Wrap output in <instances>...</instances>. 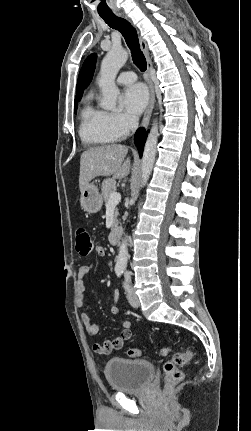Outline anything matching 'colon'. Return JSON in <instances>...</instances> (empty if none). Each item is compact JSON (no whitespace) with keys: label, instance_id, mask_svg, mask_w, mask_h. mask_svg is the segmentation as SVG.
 <instances>
[{"label":"colon","instance_id":"1","mask_svg":"<svg viewBox=\"0 0 251 431\" xmlns=\"http://www.w3.org/2000/svg\"><path fill=\"white\" fill-rule=\"evenodd\" d=\"M76 250L79 255L86 257L94 249V244L89 231L85 227L77 228L75 232ZM169 349L164 347L161 351L163 355H167ZM130 357H140L142 354L141 349L134 348L128 350ZM193 358L191 350L187 349L183 352L175 353L172 358L167 361L163 366V374L165 380V389L168 394L171 389L180 383L184 377L182 368L187 365Z\"/></svg>","mask_w":251,"mask_h":431}]
</instances>
